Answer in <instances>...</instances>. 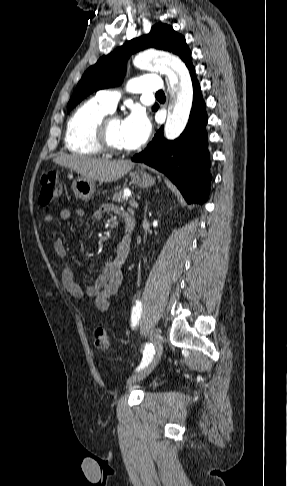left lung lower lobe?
<instances>
[{"label": "left lung lower lobe", "instance_id": "obj_1", "mask_svg": "<svg viewBox=\"0 0 287 486\" xmlns=\"http://www.w3.org/2000/svg\"><path fill=\"white\" fill-rule=\"evenodd\" d=\"M193 84V103L183 133L174 141L163 136V127L147 148L132 161L145 163L168 176L188 203L207 200L211 175L206 132L207 114L191 57L185 62Z\"/></svg>", "mask_w": 287, "mask_h": 486}]
</instances>
